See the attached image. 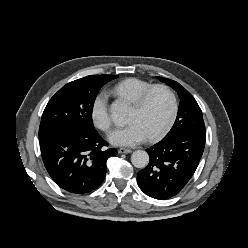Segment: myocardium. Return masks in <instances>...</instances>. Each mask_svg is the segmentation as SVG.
Listing matches in <instances>:
<instances>
[{
    "label": "myocardium",
    "instance_id": "myocardium-1",
    "mask_svg": "<svg viewBox=\"0 0 248 248\" xmlns=\"http://www.w3.org/2000/svg\"><path fill=\"white\" fill-rule=\"evenodd\" d=\"M156 90H163L168 94V96L170 98L171 106H170L169 115H168L167 119L165 120V122L162 124V126L155 133H153L152 135H150L148 137V139L151 141H154V140L160 138L169 129V127L172 125V123L175 119V116L177 113V107H178L177 98H176L175 93L173 92V90L169 86L164 85V84H156V85L151 86L150 88L145 90L132 103V105L136 109H142L145 106L149 96Z\"/></svg>",
    "mask_w": 248,
    "mask_h": 248
}]
</instances>
